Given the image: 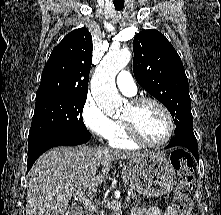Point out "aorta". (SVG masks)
Masks as SVG:
<instances>
[{
    "mask_svg": "<svg viewBox=\"0 0 221 215\" xmlns=\"http://www.w3.org/2000/svg\"><path fill=\"white\" fill-rule=\"evenodd\" d=\"M128 50L109 51L97 66L91 81V93L100 109L108 116L117 115L123 107L115 77L130 61ZM115 215H119L115 213Z\"/></svg>",
    "mask_w": 221,
    "mask_h": 215,
    "instance_id": "1",
    "label": "aorta"
}]
</instances>
